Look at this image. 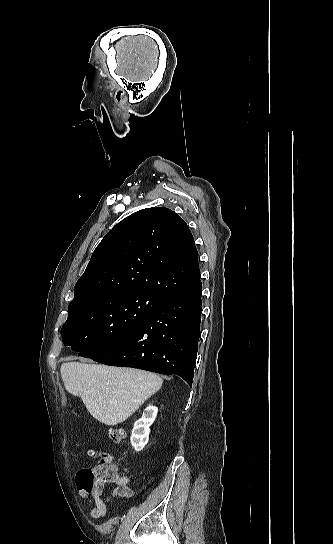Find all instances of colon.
Segmentation results:
<instances>
[{
	"label": "colon",
	"mask_w": 333,
	"mask_h": 544,
	"mask_svg": "<svg viewBox=\"0 0 333 544\" xmlns=\"http://www.w3.org/2000/svg\"><path fill=\"white\" fill-rule=\"evenodd\" d=\"M109 437L114 442H120L125 437V431L119 427L109 428ZM119 475L112 458L106 454L98 455V463L94 467L83 468L77 474L79 486L92 490L99 486L112 485L118 482Z\"/></svg>",
	"instance_id": "colon-1"
}]
</instances>
